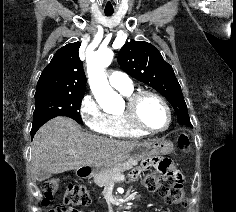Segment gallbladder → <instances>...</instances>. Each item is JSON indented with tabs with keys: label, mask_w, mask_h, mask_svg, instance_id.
Here are the masks:
<instances>
[{
	"label": "gallbladder",
	"mask_w": 236,
	"mask_h": 212,
	"mask_svg": "<svg viewBox=\"0 0 236 212\" xmlns=\"http://www.w3.org/2000/svg\"><path fill=\"white\" fill-rule=\"evenodd\" d=\"M51 177V173L46 170H39L37 173V180L43 181Z\"/></svg>",
	"instance_id": "obj_1"
}]
</instances>
